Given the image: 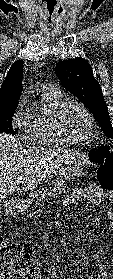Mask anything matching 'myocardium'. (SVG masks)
I'll return each instance as SVG.
<instances>
[{"label": "myocardium", "instance_id": "f54148a6", "mask_svg": "<svg viewBox=\"0 0 113 279\" xmlns=\"http://www.w3.org/2000/svg\"><path fill=\"white\" fill-rule=\"evenodd\" d=\"M71 104L77 105L83 111V113L85 114V116L88 120V124H89L88 132L82 137L67 136L61 128L60 118H61L65 108ZM50 122H51V127H52V130H53V133H54L56 139L63 144L84 143L92 137L94 130H95V122H94V118H93L91 112L82 102H80L79 100L74 99V98H66V99L60 101V103L54 109V111L51 115Z\"/></svg>", "mask_w": 113, "mask_h": 279}]
</instances>
